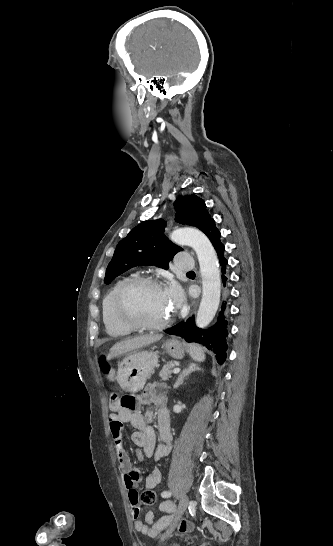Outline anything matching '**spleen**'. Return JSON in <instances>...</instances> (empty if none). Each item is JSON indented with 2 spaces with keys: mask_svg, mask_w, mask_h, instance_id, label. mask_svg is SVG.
Returning <instances> with one entry per match:
<instances>
[{
  "mask_svg": "<svg viewBox=\"0 0 333 546\" xmlns=\"http://www.w3.org/2000/svg\"><path fill=\"white\" fill-rule=\"evenodd\" d=\"M189 353L191 357L198 362H203L205 360V353L200 345L190 344Z\"/></svg>",
  "mask_w": 333,
  "mask_h": 546,
  "instance_id": "3e777b00",
  "label": "spleen"
}]
</instances>
